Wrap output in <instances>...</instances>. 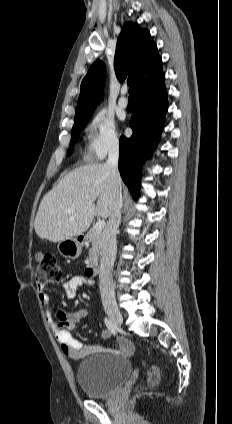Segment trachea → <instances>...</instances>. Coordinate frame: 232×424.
Listing matches in <instances>:
<instances>
[{"instance_id": "obj_1", "label": "trachea", "mask_w": 232, "mask_h": 424, "mask_svg": "<svg viewBox=\"0 0 232 424\" xmlns=\"http://www.w3.org/2000/svg\"><path fill=\"white\" fill-rule=\"evenodd\" d=\"M134 88L133 87H131L130 89H129V99H134Z\"/></svg>"}]
</instances>
